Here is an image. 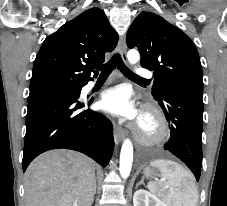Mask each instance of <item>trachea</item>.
<instances>
[{"label": "trachea", "mask_w": 227, "mask_h": 206, "mask_svg": "<svg viewBox=\"0 0 227 206\" xmlns=\"http://www.w3.org/2000/svg\"><path fill=\"white\" fill-rule=\"evenodd\" d=\"M116 67H118V69L130 79L147 81L146 79L137 76L131 70H129L122 61V58L119 54H115L106 64L95 66V69L101 71L99 78H107Z\"/></svg>", "instance_id": "1"}]
</instances>
